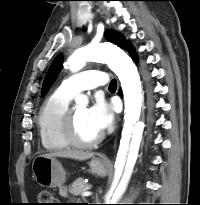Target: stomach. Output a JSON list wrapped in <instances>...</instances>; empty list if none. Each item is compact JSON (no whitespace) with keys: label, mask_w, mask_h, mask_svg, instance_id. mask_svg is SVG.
<instances>
[{"label":"stomach","mask_w":200,"mask_h":205,"mask_svg":"<svg viewBox=\"0 0 200 205\" xmlns=\"http://www.w3.org/2000/svg\"><path fill=\"white\" fill-rule=\"evenodd\" d=\"M110 166L99 158H93L90 162L91 172L98 176H105ZM32 170L36 181L42 187H57L66 180V173L61 163L54 157L39 155L34 158Z\"/></svg>","instance_id":"stomach-1"}]
</instances>
